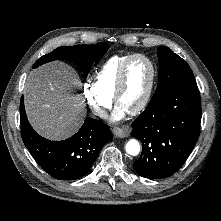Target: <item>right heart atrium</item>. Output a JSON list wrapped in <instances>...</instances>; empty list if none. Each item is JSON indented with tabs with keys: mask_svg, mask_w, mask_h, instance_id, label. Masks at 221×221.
Listing matches in <instances>:
<instances>
[{
	"mask_svg": "<svg viewBox=\"0 0 221 221\" xmlns=\"http://www.w3.org/2000/svg\"><path fill=\"white\" fill-rule=\"evenodd\" d=\"M82 92L91 111L98 117H103L112 105V98L101 93L90 81L83 84Z\"/></svg>",
	"mask_w": 221,
	"mask_h": 221,
	"instance_id": "obj_1",
	"label": "right heart atrium"
}]
</instances>
